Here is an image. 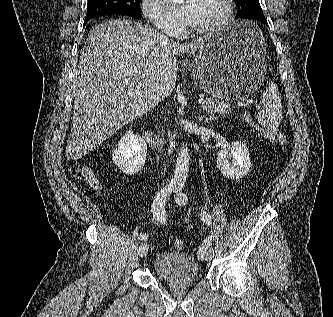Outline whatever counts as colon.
Wrapping results in <instances>:
<instances>
[{
	"label": "colon",
	"instance_id": "1",
	"mask_svg": "<svg viewBox=\"0 0 333 317\" xmlns=\"http://www.w3.org/2000/svg\"><path fill=\"white\" fill-rule=\"evenodd\" d=\"M243 118L252 128L257 130L260 133V135H262L264 138L279 143L281 145L286 144V137L282 132L275 129H268L262 127L254 120L250 112L245 111L243 113ZM70 174L75 179L85 181L92 186H99V181L97 177L95 176L93 171L88 167L74 166L70 169ZM172 245L175 250H181L184 246V243L182 240L177 239L173 241Z\"/></svg>",
	"mask_w": 333,
	"mask_h": 317
}]
</instances>
